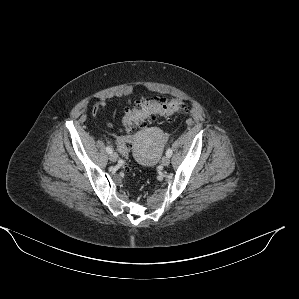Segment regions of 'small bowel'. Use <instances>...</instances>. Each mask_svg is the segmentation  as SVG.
<instances>
[{
	"label": "small bowel",
	"instance_id": "1",
	"mask_svg": "<svg viewBox=\"0 0 299 299\" xmlns=\"http://www.w3.org/2000/svg\"><path fill=\"white\" fill-rule=\"evenodd\" d=\"M114 139H115V142H116V144L118 146L119 152L121 154H123V153H122V151L120 149V145L125 144V143L126 144H130L131 141H132L131 137H129V136H116Z\"/></svg>",
	"mask_w": 299,
	"mask_h": 299
}]
</instances>
